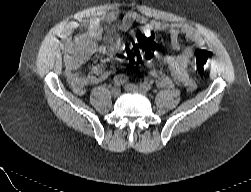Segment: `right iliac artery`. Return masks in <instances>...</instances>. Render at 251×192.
Masks as SVG:
<instances>
[{"instance_id":"1","label":"right iliac artery","mask_w":251,"mask_h":192,"mask_svg":"<svg viewBox=\"0 0 251 192\" xmlns=\"http://www.w3.org/2000/svg\"><path fill=\"white\" fill-rule=\"evenodd\" d=\"M127 81H128V77L123 74L116 75L113 79V83L116 86H120V85L126 83Z\"/></svg>"}]
</instances>
